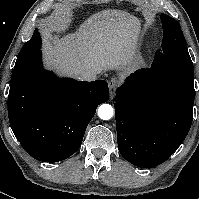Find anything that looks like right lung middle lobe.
Here are the masks:
<instances>
[{
	"mask_svg": "<svg viewBox=\"0 0 199 199\" xmlns=\"http://www.w3.org/2000/svg\"><path fill=\"white\" fill-rule=\"evenodd\" d=\"M40 48H41V38H40L38 30L36 29L33 33L32 38L23 45L17 57L15 67L19 66L27 58H29L30 56L38 52Z\"/></svg>",
	"mask_w": 199,
	"mask_h": 199,
	"instance_id": "obj_1",
	"label": "right lung middle lobe"
}]
</instances>
